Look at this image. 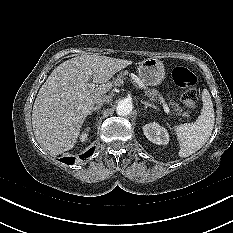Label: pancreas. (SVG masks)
<instances>
[{
	"label": "pancreas",
	"mask_w": 233,
	"mask_h": 233,
	"mask_svg": "<svg viewBox=\"0 0 233 233\" xmlns=\"http://www.w3.org/2000/svg\"><path fill=\"white\" fill-rule=\"evenodd\" d=\"M129 74V72L127 70L120 72L117 77L114 79V84L117 86L121 85L123 83V80L125 79V77ZM146 94L149 97H161V95L156 91V90H148L146 91ZM169 104L173 107L174 111L177 112V114L179 116H182L183 118H189V111H183V109L179 106L178 103L174 102V101H170Z\"/></svg>",
	"instance_id": "obj_1"
}]
</instances>
